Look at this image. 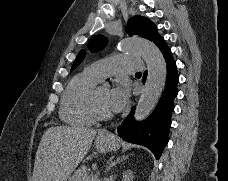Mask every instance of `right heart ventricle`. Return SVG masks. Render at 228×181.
<instances>
[{
  "instance_id": "e07e8e85",
  "label": "right heart ventricle",
  "mask_w": 228,
  "mask_h": 181,
  "mask_svg": "<svg viewBox=\"0 0 228 181\" xmlns=\"http://www.w3.org/2000/svg\"><path fill=\"white\" fill-rule=\"evenodd\" d=\"M100 78L88 71L77 73L71 79L62 102L61 116L70 123L89 125L96 121L93 99Z\"/></svg>"
}]
</instances>
